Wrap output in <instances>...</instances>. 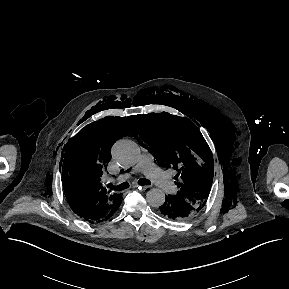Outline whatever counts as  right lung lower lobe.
<instances>
[{
    "label": "right lung lower lobe",
    "mask_w": 289,
    "mask_h": 289,
    "mask_svg": "<svg viewBox=\"0 0 289 289\" xmlns=\"http://www.w3.org/2000/svg\"><path fill=\"white\" fill-rule=\"evenodd\" d=\"M117 209H118V208H117ZM117 209H116V210H117ZM116 210H113L112 212L108 213L103 219H101V220L98 221V222H101V221H104V220L110 218V217L116 212Z\"/></svg>",
    "instance_id": "right-lung-lower-lobe-1"
}]
</instances>
